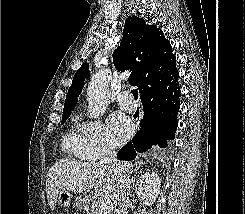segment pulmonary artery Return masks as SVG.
<instances>
[{"instance_id": "pulmonary-artery-1", "label": "pulmonary artery", "mask_w": 245, "mask_h": 214, "mask_svg": "<svg viewBox=\"0 0 245 214\" xmlns=\"http://www.w3.org/2000/svg\"><path fill=\"white\" fill-rule=\"evenodd\" d=\"M117 103L119 106L127 111H134L135 110V102L128 91H123L119 93L116 97Z\"/></svg>"}]
</instances>
